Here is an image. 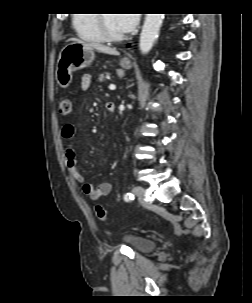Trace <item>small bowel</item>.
I'll return each mask as SVG.
<instances>
[{
    "label": "small bowel",
    "mask_w": 252,
    "mask_h": 303,
    "mask_svg": "<svg viewBox=\"0 0 252 303\" xmlns=\"http://www.w3.org/2000/svg\"><path fill=\"white\" fill-rule=\"evenodd\" d=\"M92 83V76L90 74H84L82 76L81 87L83 90H88ZM62 137L70 141L75 135V128L72 124L66 123L61 130ZM65 164L69 174L75 182L81 183L83 193L92 200H98L101 197L107 196L112 190V184L104 181L97 186L91 183L85 182L83 175L81 174L77 159L76 151L72 145H67L64 150Z\"/></svg>",
    "instance_id": "c3829d8e"
}]
</instances>
